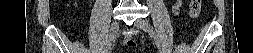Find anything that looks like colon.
<instances>
[{
    "mask_svg": "<svg viewBox=\"0 0 253 53\" xmlns=\"http://www.w3.org/2000/svg\"><path fill=\"white\" fill-rule=\"evenodd\" d=\"M202 0H191L189 5V15L192 18H197L201 11ZM129 47H137L138 43L135 40H127L126 43Z\"/></svg>",
    "mask_w": 253,
    "mask_h": 53,
    "instance_id": "colon-1",
    "label": "colon"
}]
</instances>
